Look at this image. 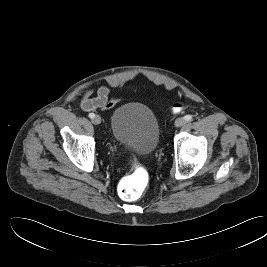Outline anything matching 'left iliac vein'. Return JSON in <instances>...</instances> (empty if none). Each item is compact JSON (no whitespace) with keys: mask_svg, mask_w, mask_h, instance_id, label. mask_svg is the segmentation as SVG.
I'll return each mask as SVG.
<instances>
[{"mask_svg":"<svg viewBox=\"0 0 267 267\" xmlns=\"http://www.w3.org/2000/svg\"><path fill=\"white\" fill-rule=\"evenodd\" d=\"M186 123V120L183 117H180L178 119H176L175 121V126L176 127H181Z\"/></svg>","mask_w":267,"mask_h":267,"instance_id":"4c4485c4","label":"left iliac vein"}]
</instances>
